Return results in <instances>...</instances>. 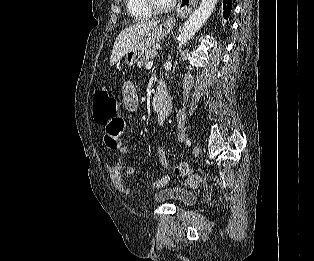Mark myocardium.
<instances>
[{"mask_svg":"<svg viewBox=\"0 0 314 261\" xmlns=\"http://www.w3.org/2000/svg\"><path fill=\"white\" fill-rule=\"evenodd\" d=\"M143 2L146 5V7L150 9L153 13L164 14L168 13L174 8L176 0H172L165 6L158 5L155 0H143Z\"/></svg>","mask_w":314,"mask_h":261,"instance_id":"obj_1","label":"myocardium"}]
</instances>
